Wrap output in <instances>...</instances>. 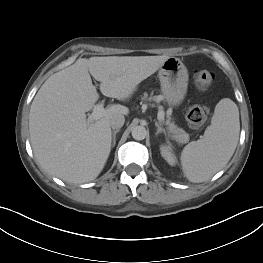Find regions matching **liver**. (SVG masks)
<instances>
[{
    "instance_id": "obj_1",
    "label": "liver",
    "mask_w": 263,
    "mask_h": 263,
    "mask_svg": "<svg viewBox=\"0 0 263 263\" xmlns=\"http://www.w3.org/2000/svg\"><path fill=\"white\" fill-rule=\"evenodd\" d=\"M168 58H79L50 76L37 92L29 114L30 140L39 165L68 183H86L97 178L111 151L110 119L116 114L127 115L129 109L121 104L109 105L102 118L89 123L85 113L99 99L90 74L101 82L104 96L125 100Z\"/></svg>"
}]
</instances>
